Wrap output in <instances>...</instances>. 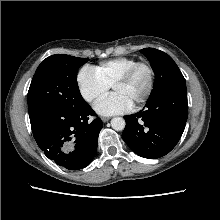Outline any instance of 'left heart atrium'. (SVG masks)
<instances>
[{"instance_id": "1", "label": "left heart atrium", "mask_w": 220, "mask_h": 220, "mask_svg": "<svg viewBox=\"0 0 220 220\" xmlns=\"http://www.w3.org/2000/svg\"><path fill=\"white\" fill-rule=\"evenodd\" d=\"M132 103L123 95L112 93L97 101L94 110L102 116H112L128 112L132 108Z\"/></svg>"}]
</instances>
